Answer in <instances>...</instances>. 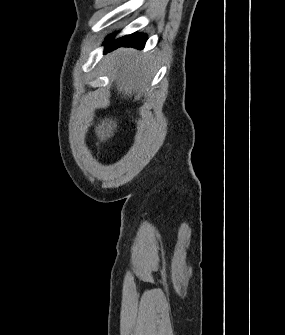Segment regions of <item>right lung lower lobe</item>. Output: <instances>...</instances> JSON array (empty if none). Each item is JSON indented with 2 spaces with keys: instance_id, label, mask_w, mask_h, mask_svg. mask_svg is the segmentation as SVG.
Returning <instances> with one entry per match:
<instances>
[{
  "instance_id": "98d812e1",
  "label": "right lung lower lobe",
  "mask_w": 285,
  "mask_h": 335,
  "mask_svg": "<svg viewBox=\"0 0 285 335\" xmlns=\"http://www.w3.org/2000/svg\"><path fill=\"white\" fill-rule=\"evenodd\" d=\"M112 36L107 39L106 42V52L116 49L117 47L127 46V47H136L142 48L146 42V36L141 33H134L128 36H124L117 41L110 42Z\"/></svg>"
}]
</instances>
